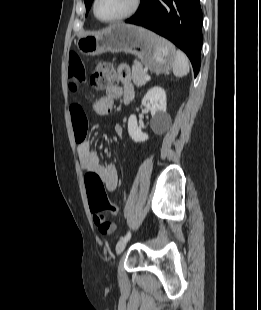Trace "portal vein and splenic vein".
I'll return each mask as SVG.
<instances>
[{
  "instance_id": "obj_1",
  "label": "portal vein and splenic vein",
  "mask_w": 261,
  "mask_h": 310,
  "mask_svg": "<svg viewBox=\"0 0 261 310\" xmlns=\"http://www.w3.org/2000/svg\"><path fill=\"white\" fill-rule=\"evenodd\" d=\"M144 79H145V80H150V76H149V75H145V76H144Z\"/></svg>"
}]
</instances>
